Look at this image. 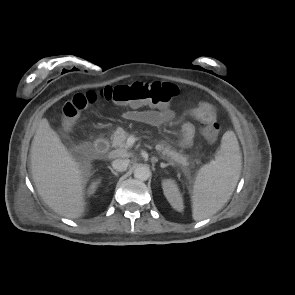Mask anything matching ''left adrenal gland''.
<instances>
[{
  "mask_svg": "<svg viewBox=\"0 0 295 295\" xmlns=\"http://www.w3.org/2000/svg\"><path fill=\"white\" fill-rule=\"evenodd\" d=\"M169 165H171V163H166V164L163 163V162L160 163V167H161V168H166V167L169 166Z\"/></svg>",
  "mask_w": 295,
  "mask_h": 295,
  "instance_id": "1",
  "label": "left adrenal gland"
}]
</instances>
